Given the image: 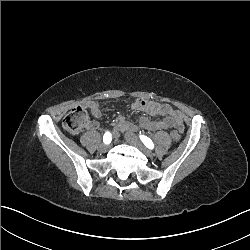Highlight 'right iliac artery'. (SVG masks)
Listing matches in <instances>:
<instances>
[{"label":"right iliac artery","instance_id":"obj_1","mask_svg":"<svg viewBox=\"0 0 250 250\" xmlns=\"http://www.w3.org/2000/svg\"><path fill=\"white\" fill-rule=\"evenodd\" d=\"M111 141H112V135H111V133H110V132H106V133L104 134V136H103V142H104L105 144H110Z\"/></svg>","mask_w":250,"mask_h":250}]
</instances>
